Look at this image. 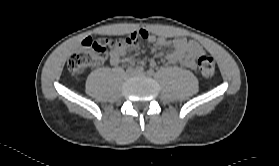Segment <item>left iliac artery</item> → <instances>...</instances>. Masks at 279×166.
I'll use <instances>...</instances> for the list:
<instances>
[{"label":"left iliac artery","instance_id":"obj_1","mask_svg":"<svg viewBox=\"0 0 279 166\" xmlns=\"http://www.w3.org/2000/svg\"><path fill=\"white\" fill-rule=\"evenodd\" d=\"M148 75H154V70L152 68H150L148 71H147Z\"/></svg>","mask_w":279,"mask_h":166}]
</instances>
